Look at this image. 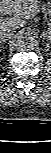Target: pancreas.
Segmentation results:
<instances>
[{
	"instance_id": "1",
	"label": "pancreas",
	"mask_w": 51,
	"mask_h": 153,
	"mask_svg": "<svg viewBox=\"0 0 51 153\" xmlns=\"http://www.w3.org/2000/svg\"><path fill=\"white\" fill-rule=\"evenodd\" d=\"M41 9H42V11H43V13H44L45 15L50 14V9H49L48 6L43 5Z\"/></svg>"
}]
</instances>
